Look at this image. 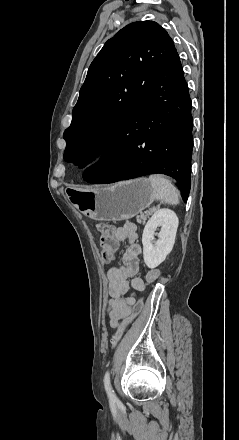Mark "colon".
I'll use <instances>...</instances> for the list:
<instances>
[{
  "label": "colon",
  "instance_id": "colon-1",
  "mask_svg": "<svg viewBox=\"0 0 239 440\" xmlns=\"http://www.w3.org/2000/svg\"><path fill=\"white\" fill-rule=\"evenodd\" d=\"M96 228L100 236L101 253L104 259L109 260L116 246L115 228L103 222H97ZM160 274L161 271L159 269L150 271L146 277L147 283H153ZM143 304V299L138 300L133 306L131 314L120 323L112 337L113 348L117 346L131 322L140 314L143 309Z\"/></svg>",
  "mask_w": 239,
  "mask_h": 440
}]
</instances>
